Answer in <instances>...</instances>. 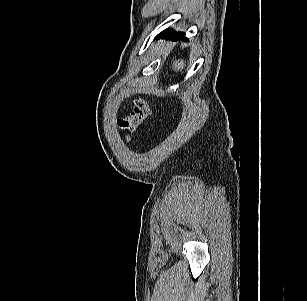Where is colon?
<instances>
[{
  "label": "colon",
  "mask_w": 307,
  "mask_h": 301,
  "mask_svg": "<svg viewBox=\"0 0 307 301\" xmlns=\"http://www.w3.org/2000/svg\"><path fill=\"white\" fill-rule=\"evenodd\" d=\"M151 116V110L148 102L144 98H138L134 102V108L131 114L125 118L117 120V125L120 130L129 139L137 128L147 121Z\"/></svg>",
  "instance_id": "colon-1"
}]
</instances>
